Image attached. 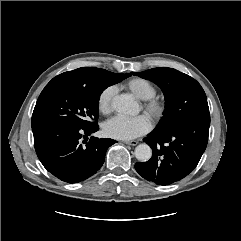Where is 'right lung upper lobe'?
Segmentation results:
<instances>
[{"instance_id": "obj_1", "label": "right lung upper lobe", "mask_w": 241, "mask_h": 241, "mask_svg": "<svg viewBox=\"0 0 241 241\" xmlns=\"http://www.w3.org/2000/svg\"><path fill=\"white\" fill-rule=\"evenodd\" d=\"M105 71L106 70L100 68L83 67L75 69L73 71L64 72L56 77L75 80L82 83H91L95 81Z\"/></svg>"}]
</instances>
